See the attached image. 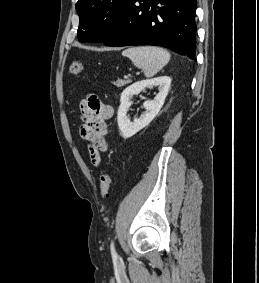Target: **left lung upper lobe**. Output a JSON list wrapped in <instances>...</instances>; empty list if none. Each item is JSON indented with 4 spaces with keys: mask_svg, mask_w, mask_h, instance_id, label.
Masks as SVG:
<instances>
[{
    "mask_svg": "<svg viewBox=\"0 0 259 283\" xmlns=\"http://www.w3.org/2000/svg\"><path fill=\"white\" fill-rule=\"evenodd\" d=\"M132 0H78L80 42H104L118 28Z\"/></svg>",
    "mask_w": 259,
    "mask_h": 283,
    "instance_id": "1",
    "label": "left lung upper lobe"
}]
</instances>
